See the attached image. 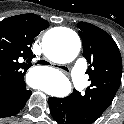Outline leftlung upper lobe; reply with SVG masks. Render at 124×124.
Segmentation results:
<instances>
[{
    "instance_id": "obj_1",
    "label": "left lung upper lobe",
    "mask_w": 124,
    "mask_h": 124,
    "mask_svg": "<svg viewBox=\"0 0 124 124\" xmlns=\"http://www.w3.org/2000/svg\"><path fill=\"white\" fill-rule=\"evenodd\" d=\"M83 56L88 60L91 85L85 93L74 90L72 99L83 124L95 122L112 103L122 76L120 51L112 37L97 26L80 22Z\"/></svg>"
}]
</instances>
